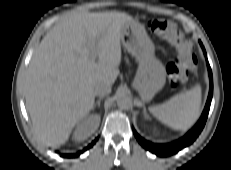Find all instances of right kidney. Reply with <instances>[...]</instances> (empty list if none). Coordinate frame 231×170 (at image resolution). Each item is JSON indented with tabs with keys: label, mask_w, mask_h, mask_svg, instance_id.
I'll use <instances>...</instances> for the list:
<instances>
[{
	"label": "right kidney",
	"mask_w": 231,
	"mask_h": 170,
	"mask_svg": "<svg viewBox=\"0 0 231 170\" xmlns=\"http://www.w3.org/2000/svg\"><path fill=\"white\" fill-rule=\"evenodd\" d=\"M99 117L92 115L84 118L77 124V127L73 134V139L76 141H82L87 139L98 127Z\"/></svg>",
	"instance_id": "ca27d5eb"
}]
</instances>
